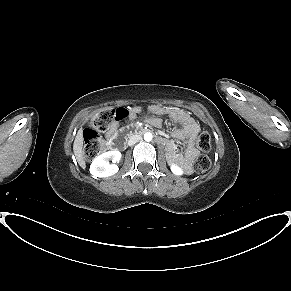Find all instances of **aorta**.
I'll list each match as a JSON object with an SVG mask.
<instances>
[{
  "mask_svg": "<svg viewBox=\"0 0 291 291\" xmlns=\"http://www.w3.org/2000/svg\"><path fill=\"white\" fill-rule=\"evenodd\" d=\"M152 138H153L152 133H150V132H146V133L144 134V139H145V141L149 142V141L152 140Z\"/></svg>",
  "mask_w": 291,
  "mask_h": 291,
  "instance_id": "aorta-1",
  "label": "aorta"
}]
</instances>
